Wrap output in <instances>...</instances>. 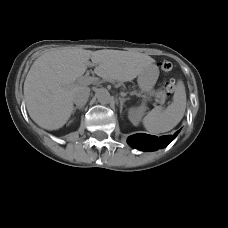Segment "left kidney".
I'll list each match as a JSON object with an SVG mask.
<instances>
[{
    "label": "left kidney",
    "mask_w": 228,
    "mask_h": 228,
    "mask_svg": "<svg viewBox=\"0 0 228 228\" xmlns=\"http://www.w3.org/2000/svg\"><path fill=\"white\" fill-rule=\"evenodd\" d=\"M143 110L141 108H131L129 111V120L134 126H137L141 120Z\"/></svg>",
    "instance_id": "5707ae66"
}]
</instances>
